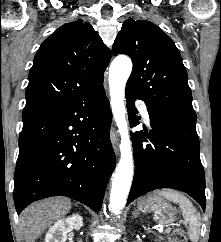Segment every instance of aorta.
I'll return each mask as SVG.
<instances>
[{"instance_id":"1","label":"aorta","mask_w":221,"mask_h":242,"mask_svg":"<svg viewBox=\"0 0 221 242\" xmlns=\"http://www.w3.org/2000/svg\"><path fill=\"white\" fill-rule=\"evenodd\" d=\"M131 71L132 61L127 56L116 57L109 69L111 108L121 135V158L112 178L109 204V209L115 215L119 214L126 204L133 178V155L124 102L125 86Z\"/></svg>"}]
</instances>
